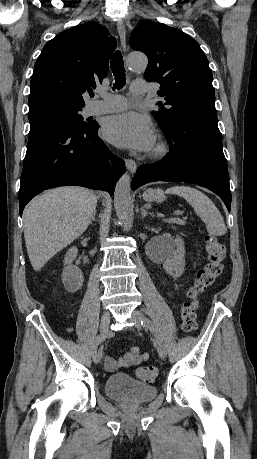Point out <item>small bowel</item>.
<instances>
[{
  "label": "small bowel",
  "mask_w": 257,
  "mask_h": 459,
  "mask_svg": "<svg viewBox=\"0 0 257 459\" xmlns=\"http://www.w3.org/2000/svg\"><path fill=\"white\" fill-rule=\"evenodd\" d=\"M169 295L171 297L174 296L172 291H169ZM194 308L198 307V300L194 299L192 302ZM148 353H141V350L138 346L131 347L128 351H126L123 356L118 359H115L111 356H106L104 358L105 362V369L108 372H113L120 367H130L136 366L140 363L146 361L148 359Z\"/></svg>",
  "instance_id": "1"
}]
</instances>
